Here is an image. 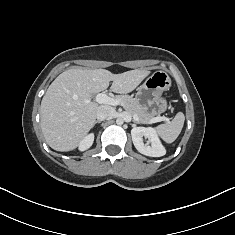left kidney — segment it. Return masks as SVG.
I'll return each instance as SVG.
<instances>
[{"mask_svg":"<svg viewBox=\"0 0 235 235\" xmlns=\"http://www.w3.org/2000/svg\"><path fill=\"white\" fill-rule=\"evenodd\" d=\"M132 141L135 148L146 156L161 157L166 154V150L161 144L157 132L152 127H134L131 130ZM143 137L147 139L144 144Z\"/></svg>","mask_w":235,"mask_h":235,"instance_id":"left-kidney-1","label":"left kidney"}]
</instances>
